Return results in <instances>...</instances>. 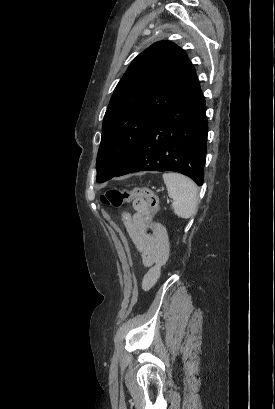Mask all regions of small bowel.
Here are the masks:
<instances>
[{
  "mask_svg": "<svg viewBox=\"0 0 275 409\" xmlns=\"http://www.w3.org/2000/svg\"><path fill=\"white\" fill-rule=\"evenodd\" d=\"M133 209L134 213L132 215L125 214L123 218L127 231L140 254L142 265L151 267L142 281V288L148 290L155 284L159 277L158 275L155 279L151 280L150 275L152 271L156 267L160 269L169 258L170 245L167 233L160 224L154 225L153 236L145 231L144 226L148 212L145 201H134Z\"/></svg>",
  "mask_w": 275,
  "mask_h": 409,
  "instance_id": "1",
  "label": "small bowel"
}]
</instances>
